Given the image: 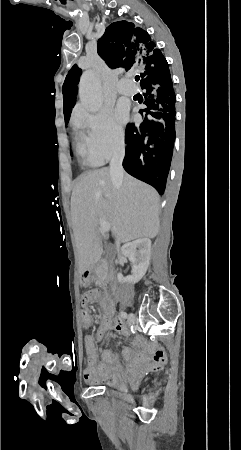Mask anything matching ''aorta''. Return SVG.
Instances as JSON below:
<instances>
[{
	"label": "aorta",
	"instance_id": "obj_1",
	"mask_svg": "<svg viewBox=\"0 0 241 450\" xmlns=\"http://www.w3.org/2000/svg\"><path fill=\"white\" fill-rule=\"evenodd\" d=\"M79 96L82 105L91 112H98L103 104L101 83L93 70L83 72L79 83Z\"/></svg>",
	"mask_w": 241,
	"mask_h": 450
}]
</instances>
